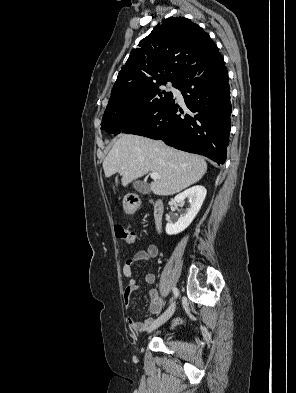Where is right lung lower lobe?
<instances>
[{"label": "right lung lower lobe", "mask_w": 296, "mask_h": 393, "mask_svg": "<svg viewBox=\"0 0 296 393\" xmlns=\"http://www.w3.org/2000/svg\"><path fill=\"white\" fill-rule=\"evenodd\" d=\"M228 81L224 59L217 46H211L175 85L183 95V108L172 97L150 116L122 132L162 140L177 149L223 164L231 129Z\"/></svg>", "instance_id": "obj_1"}]
</instances>
